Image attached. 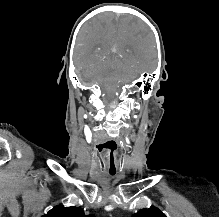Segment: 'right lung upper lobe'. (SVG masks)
<instances>
[{
	"label": "right lung upper lobe",
	"instance_id": "obj_1",
	"mask_svg": "<svg viewBox=\"0 0 219 217\" xmlns=\"http://www.w3.org/2000/svg\"><path fill=\"white\" fill-rule=\"evenodd\" d=\"M42 217H95L90 214L86 216L84 214L83 209L80 207H64L63 205L55 206L52 210H50L46 215Z\"/></svg>",
	"mask_w": 219,
	"mask_h": 217
}]
</instances>
